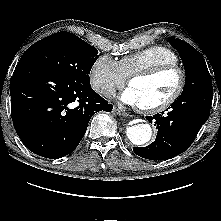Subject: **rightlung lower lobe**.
<instances>
[{
	"instance_id": "obj_1",
	"label": "right lung lower lobe",
	"mask_w": 221,
	"mask_h": 221,
	"mask_svg": "<svg viewBox=\"0 0 221 221\" xmlns=\"http://www.w3.org/2000/svg\"><path fill=\"white\" fill-rule=\"evenodd\" d=\"M10 94L19 138L30 151L50 159L61 158L78 146L93 114L113 109L91 85L69 81L28 61L17 64Z\"/></svg>"
}]
</instances>
